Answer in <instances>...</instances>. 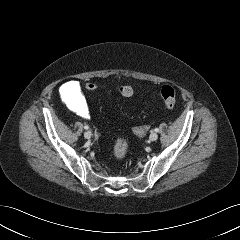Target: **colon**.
<instances>
[{"instance_id":"colon-1","label":"colon","mask_w":240,"mask_h":240,"mask_svg":"<svg viewBox=\"0 0 240 240\" xmlns=\"http://www.w3.org/2000/svg\"><path fill=\"white\" fill-rule=\"evenodd\" d=\"M97 84L95 82H87L85 84V88L89 92H94L97 89ZM117 92L124 96L129 97L133 94V89L128 85H120L117 87ZM161 99L168 109H173L176 105V96L175 91L171 86H164L161 89L160 92ZM128 152V143L125 138L119 137L116 140L115 146H114V155L118 159H123Z\"/></svg>"}]
</instances>
